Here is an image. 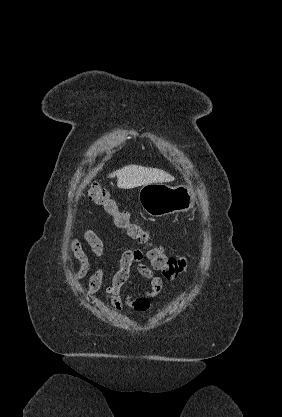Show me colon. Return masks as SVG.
<instances>
[{
    "label": "colon",
    "instance_id": "colon-1",
    "mask_svg": "<svg viewBox=\"0 0 282 417\" xmlns=\"http://www.w3.org/2000/svg\"><path fill=\"white\" fill-rule=\"evenodd\" d=\"M88 195L112 218L117 228L125 230L133 240L151 247L150 265L161 272L165 278L174 279L185 272L190 262V255L169 256L162 247L154 245L148 231L131 220L129 213L118 206L105 186L97 182L92 183L88 188Z\"/></svg>",
    "mask_w": 282,
    "mask_h": 417
}]
</instances>
